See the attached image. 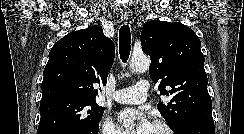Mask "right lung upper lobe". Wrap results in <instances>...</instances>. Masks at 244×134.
Listing matches in <instances>:
<instances>
[{
	"mask_svg": "<svg viewBox=\"0 0 244 134\" xmlns=\"http://www.w3.org/2000/svg\"><path fill=\"white\" fill-rule=\"evenodd\" d=\"M114 56V43L100 26L69 33L49 52L41 101L56 97L95 101L94 85L107 83Z\"/></svg>",
	"mask_w": 244,
	"mask_h": 134,
	"instance_id": "obj_1",
	"label": "right lung upper lobe"
}]
</instances>
